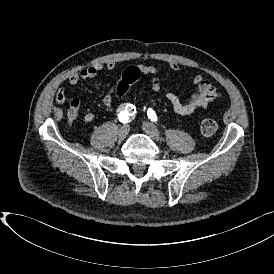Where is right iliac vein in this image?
I'll return each instance as SVG.
<instances>
[{
    "instance_id": "63e3f726",
    "label": "right iliac vein",
    "mask_w": 274,
    "mask_h": 274,
    "mask_svg": "<svg viewBox=\"0 0 274 274\" xmlns=\"http://www.w3.org/2000/svg\"><path fill=\"white\" fill-rule=\"evenodd\" d=\"M129 133V126L128 125H122L118 130V138L119 139H125Z\"/></svg>"
}]
</instances>
